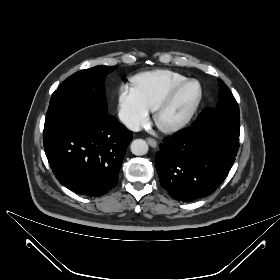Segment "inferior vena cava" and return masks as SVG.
Wrapping results in <instances>:
<instances>
[{"label": "inferior vena cava", "mask_w": 280, "mask_h": 280, "mask_svg": "<svg viewBox=\"0 0 280 280\" xmlns=\"http://www.w3.org/2000/svg\"><path fill=\"white\" fill-rule=\"evenodd\" d=\"M119 119L122 121V123L131 131L138 132L140 131V123L139 121L134 118L132 115L128 114L127 112L120 111Z\"/></svg>", "instance_id": "inferior-vena-cava-1"}]
</instances>
